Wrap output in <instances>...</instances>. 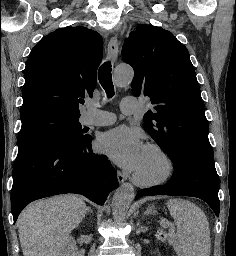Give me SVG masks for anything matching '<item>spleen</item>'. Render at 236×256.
<instances>
[{
	"instance_id": "spleen-1",
	"label": "spleen",
	"mask_w": 236,
	"mask_h": 256,
	"mask_svg": "<svg viewBox=\"0 0 236 256\" xmlns=\"http://www.w3.org/2000/svg\"><path fill=\"white\" fill-rule=\"evenodd\" d=\"M167 208L176 222L181 256H210V230L204 212L179 198L168 200Z\"/></svg>"
}]
</instances>
